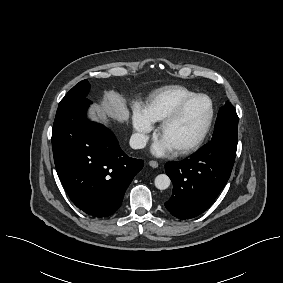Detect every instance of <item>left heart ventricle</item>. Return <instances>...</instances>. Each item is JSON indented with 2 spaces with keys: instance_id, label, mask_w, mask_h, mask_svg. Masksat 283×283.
I'll return each instance as SVG.
<instances>
[{
  "instance_id": "b2bd125f",
  "label": "left heart ventricle",
  "mask_w": 283,
  "mask_h": 283,
  "mask_svg": "<svg viewBox=\"0 0 283 283\" xmlns=\"http://www.w3.org/2000/svg\"><path fill=\"white\" fill-rule=\"evenodd\" d=\"M210 110L208 99L199 98L193 101L181 117L160 135V138L168 143L173 150L192 143L203 131Z\"/></svg>"
}]
</instances>
